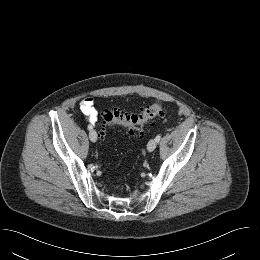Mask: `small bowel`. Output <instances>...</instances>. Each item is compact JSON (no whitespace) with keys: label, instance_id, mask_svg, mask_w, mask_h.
Instances as JSON below:
<instances>
[{"label":"small bowel","instance_id":"c3829d8e","mask_svg":"<svg viewBox=\"0 0 260 260\" xmlns=\"http://www.w3.org/2000/svg\"><path fill=\"white\" fill-rule=\"evenodd\" d=\"M80 111L88 117L92 124L97 122V110L94 105V100L91 97H85L80 101Z\"/></svg>","mask_w":260,"mask_h":260}]
</instances>
